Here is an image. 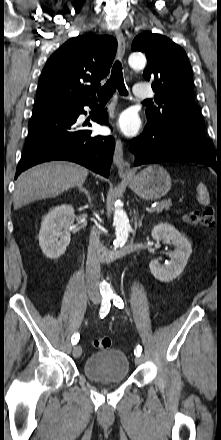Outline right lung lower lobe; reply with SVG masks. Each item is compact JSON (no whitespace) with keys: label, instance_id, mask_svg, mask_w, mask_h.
<instances>
[{"label":"right lung lower lobe","instance_id":"right-lung-lower-lobe-1","mask_svg":"<svg viewBox=\"0 0 221 440\" xmlns=\"http://www.w3.org/2000/svg\"><path fill=\"white\" fill-rule=\"evenodd\" d=\"M96 101L33 112L15 179L26 169L51 160L76 162L108 177L115 149L114 138L93 137L91 130L81 129L85 124L77 123L78 116L86 114L83 107L96 108ZM107 117L105 109H96L93 120L108 125Z\"/></svg>","mask_w":221,"mask_h":440}]
</instances>
